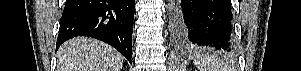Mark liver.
Instances as JSON below:
<instances>
[{
  "mask_svg": "<svg viewBox=\"0 0 301 71\" xmlns=\"http://www.w3.org/2000/svg\"><path fill=\"white\" fill-rule=\"evenodd\" d=\"M57 71H121L123 56L99 40L76 37L57 52Z\"/></svg>",
  "mask_w": 301,
  "mask_h": 71,
  "instance_id": "obj_1",
  "label": "liver"
}]
</instances>
